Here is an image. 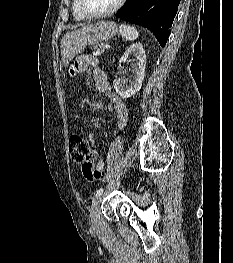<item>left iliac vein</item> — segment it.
<instances>
[{
    "label": "left iliac vein",
    "instance_id": "4c4485c4",
    "mask_svg": "<svg viewBox=\"0 0 233 263\" xmlns=\"http://www.w3.org/2000/svg\"><path fill=\"white\" fill-rule=\"evenodd\" d=\"M102 198L99 196L94 201L92 207H91V221L92 226L94 229H98L100 227V205H101Z\"/></svg>",
    "mask_w": 233,
    "mask_h": 263
}]
</instances>
